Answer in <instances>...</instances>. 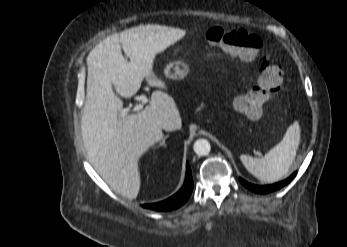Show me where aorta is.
I'll use <instances>...</instances> for the list:
<instances>
[{
	"label": "aorta",
	"instance_id": "762f6f07",
	"mask_svg": "<svg viewBox=\"0 0 347 247\" xmlns=\"http://www.w3.org/2000/svg\"><path fill=\"white\" fill-rule=\"evenodd\" d=\"M193 149L198 156H206L209 154L211 146L208 140L198 139L195 141Z\"/></svg>",
	"mask_w": 347,
	"mask_h": 247
}]
</instances>
